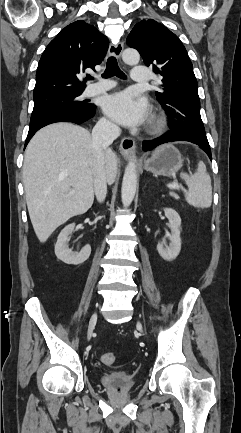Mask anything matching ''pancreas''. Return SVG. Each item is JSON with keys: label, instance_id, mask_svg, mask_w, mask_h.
Wrapping results in <instances>:
<instances>
[{"label": "pancreas", "instance_id": "1", "mask_svg": "<svg viewBox=\"0 0 241 433\" xmlns=\"http://www.w3.org/2000/svg\"><path fill=\"white\" fill-rule=\"evenodd\" d=\"M170 196H172L175 199H179V196L174 192H170Z\"/></svg>", "mask_w": 241, "mask_h": 433}]
</instances>
